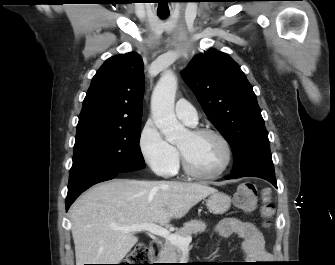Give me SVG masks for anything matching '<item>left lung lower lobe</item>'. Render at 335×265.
<instances>
[{
  "instance_id": "1",
  "label": "left lung lower lobe",
  "mask_w": 335,
  "mask_h": 265,
  "mask_svg": "<svg viewBox=\"0 0 335 265\" xmlns=\"http://www.w3.org/2000/svg\"><path fill=\"white\" fill-rule=\"evenodd\" d=\"M246 176H253V177L263 178V179L271 182L277 188V182H276L275 175H270V174H266V173L258 172V171H251V172H246V173H242V174L231 173V175L229 177H227V179H235V178L246 177Z\"/></svg>"
}]
</instances>
